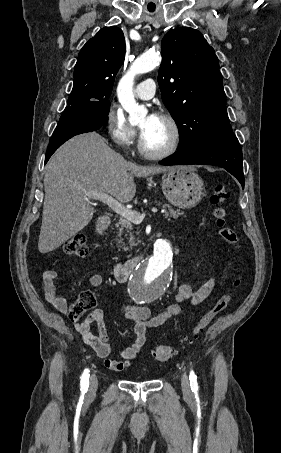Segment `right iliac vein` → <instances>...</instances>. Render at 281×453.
<instances>
[{"label":"right iliac vein","instance_id":"1","mask_svg":"<svg viewBox=\"0 0 281 453\" xmlns=\"http://www.w3.org/2000/svg\"><path fill=\"white\" fill-rule=\"evenodd\" d=\"M98 381H99L98 378L95 377L94 375L91 377V380H90V383H89L90 386L88 388L89 393H96L97 387H98L97 386Z\"/></svg>","mask_w":281,"mask_h":453}]
</instances>
